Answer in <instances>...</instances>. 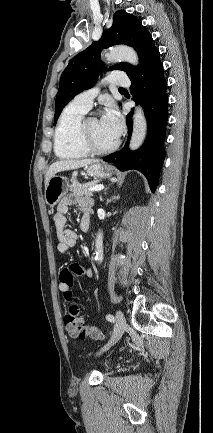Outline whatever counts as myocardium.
<instances>
[{
  "label": "myocardium",
  "mask_w": 213,
  "mask_h": 433,
  "mask_svg": "<svg viewBox=\"0 0 213 433\" xmlns=\"http://www.w3.org/2000/svg\"><path fill=\"white\" fill-rule=\"evenodd\" d=\"M95 117H86L84 118L79 127V140L81 143V146L89 153V154H95V155H104L113 152L116 150L119 146V140L116 139V141L107 148H98L94 145L92 142L89 131H88V122L90 119Z\"/></svg>",
  "instance_id": "f54148a6"
}]
</instances>
